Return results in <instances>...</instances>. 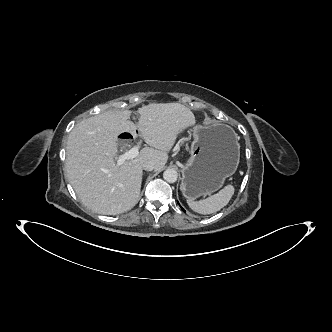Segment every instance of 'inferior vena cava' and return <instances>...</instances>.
<instances>
[{"label":"inferior vena cava","instance_id":"inferior-vena-cava-1","mask_svg":"<svg viewBox=\"0 0 332 332\" xmlns=\"http://www.w3.org/2000/svg\"><path fill=\"white\" fill-rule=\"evenodd\" d=\"M142 167L146 171H152L155 169V163L153 161H146L143 163Z\"/></svg>","mask_w":332,"mask_h":332}]
</instances>
